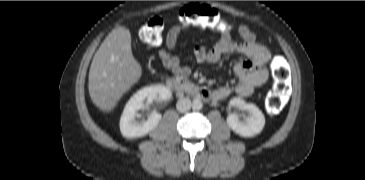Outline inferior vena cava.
Returning a JSON list of instances; mask_svg holds the SVG:
<instances>
[{
	"instance_id": "obj_1",
	"label": "inferior vena cava",
	"mask_w": 365,
	"mask_h": 180,
	"mask_svg": "<svg viewBox=\"0 0 365 180\" xmlns=\"http://www.w3.org/2000/svg\"><path fill=\"white\" fill-rule=\"evenodd\" d=\"M191 100L189 98H181L177 101L176 108L179 112H187L191 108Z\"/></svg>"
}]
</instances>
